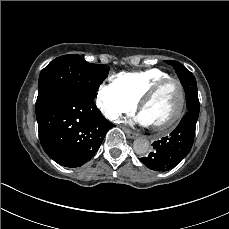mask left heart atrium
<instances>
[{"mask_svg": "<svg viewBox=\"0 0 229 229\" xmlns=\"http://www.w3.org/2000/svg\"><path fill=\"white\" fill-rule=\"evenodd\" d=\"M135 122H137L138 124L142 125V126H148L147 121L143 118L142 115H139L136 119Z\"/></svg>", "mask_w": 229, "mask_h": 229, "instance_id": "left-heart-atrium-1", "label": "left heart atrium"}]
</instances>
